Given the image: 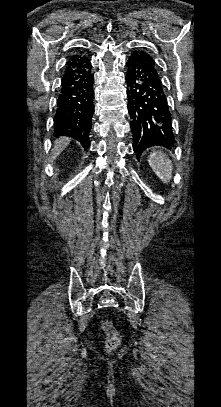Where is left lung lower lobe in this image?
<instances>
[{"label":"left lung lower lobe","instance_id":"0a47b994","mask_svg":"<svg viewBox=\"0 0 221 407\" xmlns=\"http://www.w3.org/2000/svg\"><path fill=\"white\" fill-rule=\"evenodd\" d=\"M127 67L128 111L134 152L140 156L147 147L154 145L171 148L175 143L171 113L153 57L144 50H135Z\"/></svg>","mask_w":221,"mask_h":407}]
</instances>
